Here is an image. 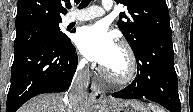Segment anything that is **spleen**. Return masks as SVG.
Returning <instances> with one entry per match:
<instances>
[{
	"label": "spleen",
	"mask_w": 193,
	"mask_h": 112,
	"mask_svg": "<svg viewBox=\"0 0 193 112\" xmlns=\"http://www.w3.org/2000/svg\"><path fill=\"white\" fill-rule=\"evenodd\" d=\"M151 109L153 112H163L162 109H160L159 107L155 106V105H150Z\"/></svg>",
	"instance_id": "3e777b00"
}]
</instances>
